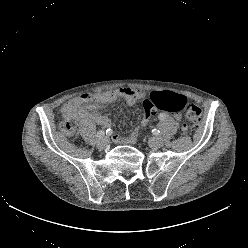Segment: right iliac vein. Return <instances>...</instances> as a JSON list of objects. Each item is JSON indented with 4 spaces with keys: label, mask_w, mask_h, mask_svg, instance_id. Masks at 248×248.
<instances>
[{
    "label": "right iliac vein",
    "mask_w": 248,
    "mask_h": 248,
    "mask_svg": "<svg viewBox=\"0 0 248 248\" xmlns=\"http://www.w3.org/2000/svg\"><path fill=\"white\" fill-rule=\"evenodd\" d=\"M108 142H109L108 138L106 136H103V137L98 139L97 147L100 149H104L108 145Z\"/></svg>",
    "instance_id": "right-iliac-vein-1"
}]
</instances>
